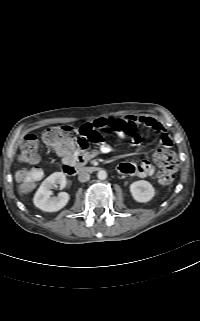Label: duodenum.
Returning <instances> with one entry per match:
<instances>
[{"label": "duodenum", "mask_w": 200, "mask_h": 321, "mask_svg": "<svg viewBox=\"0 0 200 321\" xmlns=\"http://www.w3.org/2000/svg\"><path fill=\"white\" fill-rule=\"evenodd\" d=\"M100 168L96 166H84L82 164H73V165H65L63 171L67 175H75L78 173H93L98 171Z\"/></svg>", "instance_id": "obj_1"}]
</instances>
